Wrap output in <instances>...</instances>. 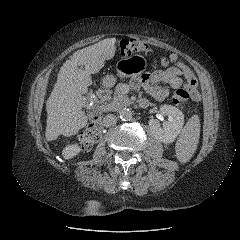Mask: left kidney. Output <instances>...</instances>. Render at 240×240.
<instances>
[{"instance_id": "left-kidney-1", "label": "left kidney", "mask_w": 240, "mask_h": 240, "mask_svg": "<svg viewBox=\"0 0 240 240\" xmlns=\"http://www.w3.org/2000/svg\"><path fill=\"white\" fill-rule=\"evenodd\" d=\"M160 112L163 115L168 116L169 121L164 122L163 126H160V122L157 119L149 120V127L152 134L163 143H171L182 131L184 125V115L182 111L171 105H162Z\"/></svg>"}]
</instances>
